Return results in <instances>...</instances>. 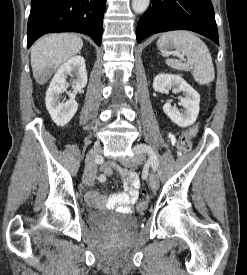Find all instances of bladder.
<instances>
[{
  "instance_id": "bladder-1",
  "label": "bladder",
  "mask_w": 247,
  "mask_h": 275,
  "mask_svg": "<svg viewBox=\"0 0 247 275\" xmlns=\"http://www.w3.org/2000/svg\"><path fill=\"white\" fill-rule=\"evenodd\" d=\"M88 218L93 225L132 227L137 223L135 215H119L107 210H91Z\"/></svg>"
}]
</instances>
